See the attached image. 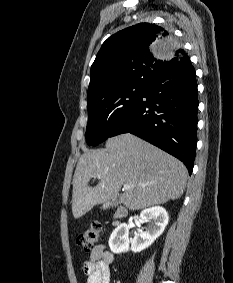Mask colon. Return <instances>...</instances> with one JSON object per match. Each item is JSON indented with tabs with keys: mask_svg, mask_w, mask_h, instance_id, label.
<instances>
[{
	"mask_svg": "<svg viewBox=\"0 0 233 283\" xmlns=\"http://www.w3.org/2000/svg\"><path fill=\"white\" fill-rule=\"evenodd\" d=\"M100 233L101 224L99 222H92L79 234L77 243L85 250H90L98 242Z\"/></svg>",
	"mask_w": 233,
	"mask_h": 283,
	"instance_id": "colon-1",
	"label": "colon"
}]
</instances>
